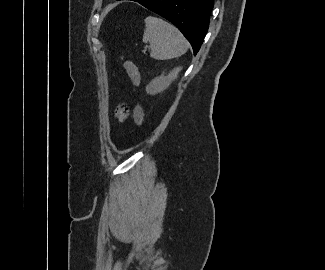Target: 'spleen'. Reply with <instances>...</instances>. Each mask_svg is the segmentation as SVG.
Returning a JSON list of instances; mask_svg holds the SVG:
<instances>
[{
  "label": "spleen",
  "instance_id": "spleen-1",
  "mask_svg": "<svg viewBox=\"0 0 325 270\" xmlns=\"http://www.w3.org/2000/svg\"><path fill=\"white\" fill-rule=\"evenodd\" d=\"M144 22L143 42L150 44L152 58L166 60L186 53L188 43L174 25L153 16H148Z\"/></svg>",
  "mask_w": 325,
  "mask_h": 270
}]
</instances>
